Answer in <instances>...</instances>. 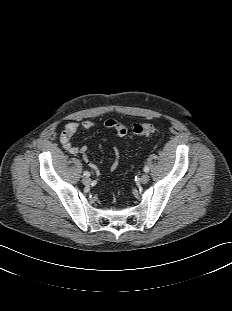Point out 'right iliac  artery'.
<instances>
[{
	"label": "right iliac artery",
	"instance_id": "1",
	"mask_svg": "<svg viewBox=\"0 0 232 311\" xmlns=\"http://www.w3.org/2000/svg\"><path fill=\"white\" fill-rule=\"evenodd\" d=\"M83 175L86 176V177H89L90 173L88 171H84Z\"/></svg>",
	"mask_w": 232,
	"mask_h": 311
}]
</instances>
